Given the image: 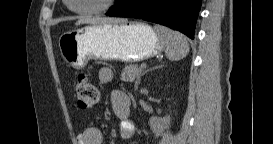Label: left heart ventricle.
Returning <instances> with one entry per match:
<instances>
[{
    "instance_id": "obj_1",
    "label": "left heart ventricle",
    "mask_w": 273,
    "mask_h": 144,
    "mask_svg": "<svg viewBox=\"0 0 273 144\" xmlns=\"http://www.w3.org/2000/svg\"><path fill=\"white\" fill-rule=\"evenodd\" d=\"M105 0H72V6L76 9L95 8Z\"/></svg>"
}]
</instances>
